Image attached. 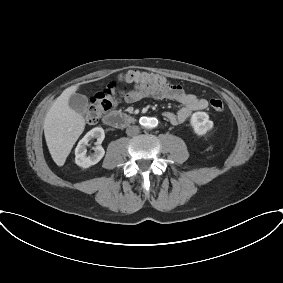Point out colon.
I'll return each mask as SVG.
<instances>
[{"mask_svg": "<svg viewBox=\"0 0 283 283\" xmlns=\"http://www.w3.org/2000/svg\"><path fill=\"white\" fill-rule=\"evenodd\" d=\"M120 81L134 84L145 91H152L167 85L166 79L155 73L142 70H130L120 77ZM117 92L116 85H111L103 92L96 94L89 104L86 113V121L89 125L96 124L103 114L112 107V97ZM212 110L222 112L224 103L218 98H213L209 102Z\"/></svg>", "mask_w": 283, "mask_h": 283, "instance_id": "1", "label": "colon"}]
</instances>
